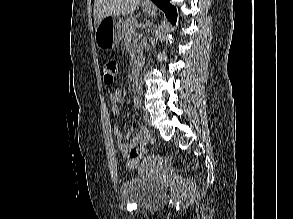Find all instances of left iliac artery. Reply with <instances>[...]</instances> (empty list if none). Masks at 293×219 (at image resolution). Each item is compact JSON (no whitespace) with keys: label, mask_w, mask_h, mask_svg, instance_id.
I'll list each match as a JSON object with an SVG mask.
<instances>
[{"label":"left iliac artery","mask_w":293,"mask_h":219,"mask_svg":"<svg viewBox=\"0 0 293 219\" xmlns=\"http://www.w3.org/2000/svg\"><path fill=\"white\" fill-rule=\"evenodd\" d=\"M138 95H142V89L137 90Z\"/></svg>","instance_id":"obj_1"}]
</instances>
